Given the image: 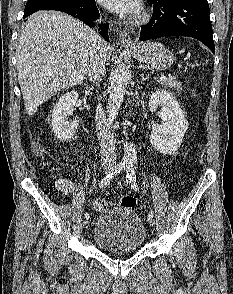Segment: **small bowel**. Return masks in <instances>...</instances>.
Instances as JSON below:
<instances>
[{"label": "small bowel", "instance_id": "small-bowel-1", "mask_svg": "<svg viewBox=\"0 0 233 294\" xmlns=\"http://www.w3.org/2000/svg\"><path fill=\"white\" fill-rule=\"evenodd\" d=\"M57 188L64 195H69V194L74 192V185L68 179H60V180H58ZM95 203H105V202L103 200H98V201H95L94 204Z\"/></svg>", "mask_w": 233, "mask_h": 294}]
</instances>
